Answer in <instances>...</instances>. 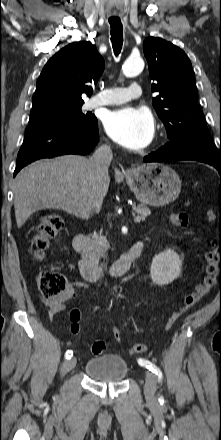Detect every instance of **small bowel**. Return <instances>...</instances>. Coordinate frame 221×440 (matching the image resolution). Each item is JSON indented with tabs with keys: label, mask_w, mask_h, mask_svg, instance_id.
Here are the masks:
<instances>
[{
	"label": "small bowel",
	"mask_w": 221,
	"mask_h": 440,
	"mask_svg": "<svg viewBox=\"0 0 221 440\" xmlns=\"http://www.w3.org/2000/svg\"><path fill=\"white\" fill-rule=\"evenodd\" d=\"M80 286L81 284L79 282L70 280L67 282L66 290L59 297L46 299L41 296V299L49 308V315L51 318L66 309V302L74 295L75 289Z\"/></svg>",
	"instance_id": "1"
}]
</instances>
